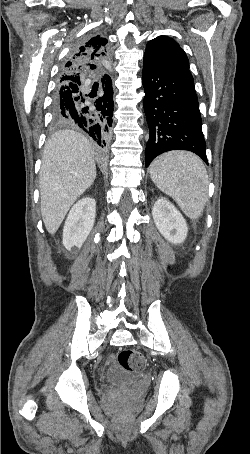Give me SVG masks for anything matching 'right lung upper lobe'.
<instances>
[{
  "label": "right lung upper lobe",
  "mask_w": 250,
  "mask_h": 454,
  "mask_svg": "<svg viewBox=\"0 0 250 454\" xmlns=\"http://www.w3.org/2000/svg\"><path fill=\"white\" fill-rule=\"evenodd\" d=\"M108 60L107 39L100 35L92 37L76 48L64 63L58 86L63 88L70 83L79 84L85 76L103 72L106 69L105 61Z\"/></svg>",
  "instance_id": "cb5924a9"
}]
</instances>
